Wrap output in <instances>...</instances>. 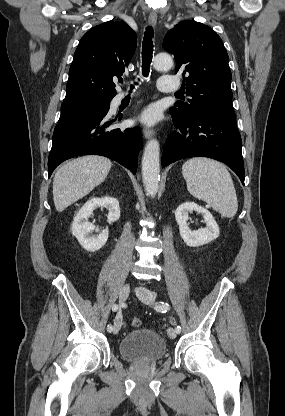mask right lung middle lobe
<instances>
[{"label": "right lung middle lobe", "mask_w": 285, "mask_h": 416, "mask_svg": "<svg viewBox=\"0 0 285 416\" xmlns=\"http://www.w3.org/2000/svg\"><path fill=\"white\" fill-rule=\"evenodd\" d=\"M110 101L111 100L63 102L61 105V116L86 112L109 111Z\"/></svg>", "instance_id": "1"}]
</instances>
